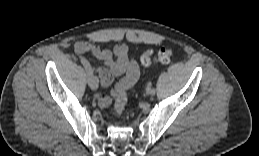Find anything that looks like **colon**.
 I'll return each mask as SVG.
<instances>
[{
  "label": "colon",
  "mask_w": 259,
  "mask_h": 156,
  "mask_svg": "<svg viewBox=\"0 0 259 156\" xmlns=\"http://www.w3.org/2000/svg\"><path fill=\"white\" fill-rule=\"evenodd\" d=\"M173 55V50L171 48H162L159 50L157 56L154 55L152 50H145L141 57L140 61L143 66H150L155 62L167 63ZM127 103V92L126 89H119L115 96V114L117 117H120L126 107Z\"/></svg>",
  "instance_id": "obj_1"
}]
</instances>
